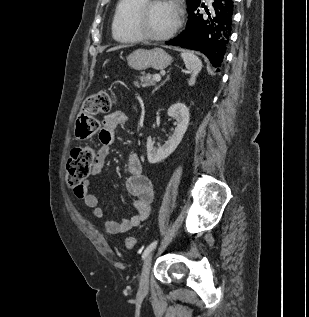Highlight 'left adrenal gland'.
Returning <instances> with one entry per match:
<instances>
[{"label": "left adrenal gland", "mask_w": 309, "mask_h": 317, "mask_svg": "<svg viewBox=\"0 0 309 317\" xmlns=\"http://www.w3.org/2000/svg\"><path fill=\"white\" fill-rule=\"evenodd\" d=\"M168 80H169V76L167 77V79H166L161 85H163V84H164L166 81H168ZM161 85H160V86H161ZM160 86H159V87H160ZM159 87H157L154 91H156Z\"/></svg>", "instance_id": "obj_1"}]
</instances>
